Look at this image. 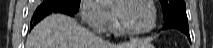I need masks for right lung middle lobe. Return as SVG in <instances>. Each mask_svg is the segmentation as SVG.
Here are the masks:
<instances>
[{
	"label": "right lung middle lobe",
	"mask_w": 213,
	"mask_h": 48,
	"mask_svg": "<svg viewBox=\"0 0 213 48\" xmlns=\"http://www.w3.org/2000/svg\"><path fill=\"white\" fill-rule=\"evenodd\" d=\"M59 1L65 3L73 11L77 12V10L79 9L80 0H59Z\"/></svg>",
	"instance_id": "1"
}]
</instances>
